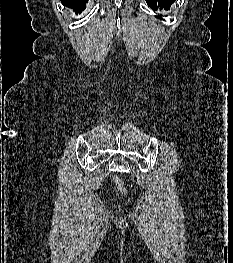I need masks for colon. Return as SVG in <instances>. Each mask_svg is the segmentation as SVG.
Masks as SVG:
<instances>
[{
  "label": "colon",
  "mask_w": 233,
  "mask_h": 263,
  "mask_svg": "<svg viewBox=\"0 0 233 263\" xmlns=\"http://www.w3.org/2000/svg\"><path fill=\"white\" fill-rule=\"evenodd\" d=\"M114 181L116 182V185H117V187H118V190H119L122 194L127 195V194H128V191H127L126 187L124 186V184L122 183V181L119 180V178L116 177V176L114 177Z\"/></svg>",
  "instance_id": "5ec220e1"
}]
</instances>
